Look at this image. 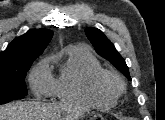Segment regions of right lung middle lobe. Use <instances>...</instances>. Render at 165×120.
Listing matches in <instances>:
<instances>
[{
    "label": "right lung middle lobe",
    "instance_id": "dd1d6c3e",
    "mask_svg": "<svg viewBox=\"0 0 165 120\" xmlns=\"http://www.w3.org/2000/svg\"><path fill=\"white\" fill-rule=\"evenodd\" d=\"M35 59L0 63V104L23 99L27 95L24 79Z\"/></svg>",
    "mask_w": 165,
    "mask_h": 120
}]
</instances>
